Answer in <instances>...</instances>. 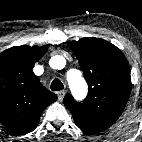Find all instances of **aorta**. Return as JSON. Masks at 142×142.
Listing matches in <instances>:
<instances>
[{
  "label": "aorta",
  "mask_w": 142,
  "mask_h": 142,
  "mask_svg": "<svg viewBox=\"0 0 142 142\" xmlns=\"http://www.w3.org/2000/svg\"><path fill=\"white\" fill-rule=\"evenodd\" d=\"M78 71L70 70L67 74V79L74 94L83 97L87 92V84Z\"/></svg>",
  "instance_id": "1"
}]
</instances>
